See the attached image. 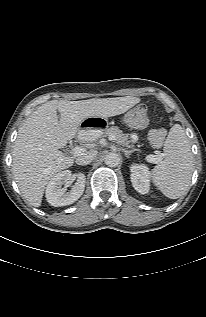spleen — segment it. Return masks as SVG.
<instances>
[{"mask_svg":"<svg viewBox=\"0 0 206 317\" xmlns=\"http://www.w3.org/2000/svg\"><path fill=\"white\" fill-rule=\"evenodd\" d=\"M164 155L151 172L152 181L166 197L177 199L188 190L194 170L190 143L179 124L168 133Z\"/></svg>","mask_w":206,"mask_h":317,"instance_id":"1","label":"spleen"}]
</instances>
